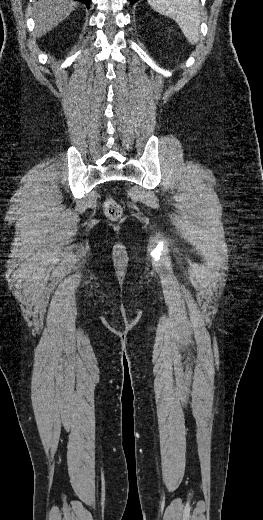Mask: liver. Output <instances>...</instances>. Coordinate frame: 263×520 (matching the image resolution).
Segmentation results:
<instances>
[{
    "instance_id": "6515ba94",
    "label": "liver",
    "mask_w": 263,
    "mask_h": 520,
    "mask_svg": "<svg viewBox=\"0 0 263 520\" xmlns=\"http://www.w3.org/2000/svg\"><path fill=\"white\" fill-rule=\"evenodd\" d=\"M74 0H39L32 7L34 36L41 37L65 20L77 7Z\"/></svg>"
}]
</instances>
